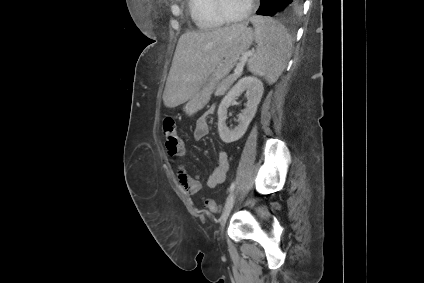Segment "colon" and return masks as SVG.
<instances>
[{"label": "colon", "instance_id": "1", "mask_svg": "<svg viewBox=\"0 0 424 283\" xmlns=\"http://www.w3.org/2000/svg\"><path fill=\"white\" fill-rule=\"evenodd\" d=\"M163 134L165 137V144L171 146V154L183 153V141L178 135L176 120L172 117H166L163 121ZM205 204L207 209L212 213H217L220 208L217 203L212 199H206Z\"/></svg>", "mask_w": 424, "mask_h": 283}]
</instances>
